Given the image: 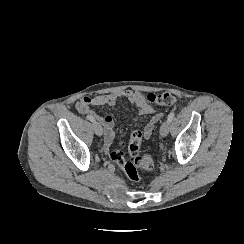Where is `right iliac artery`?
Returning <instances> with one entry per match:
<instances>
[{
  "instance_id": "82829eb1",
  "label": "right iliac artery",
  "mask_w": 244,
  "mask_h": 244,
  "mask_svg": "<svg viewBox=\"0 0 244 244\" xmlns=\"http://www.w3.org/2000/svg\"><path fill=\"white\" fill-rule=\"evenodd\" d=\"M87 119L90 120L91 122H95V118L91 115H88Z\"/></svg>"
}]
</instances>
